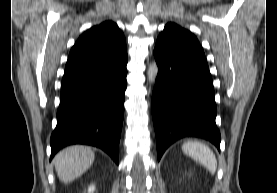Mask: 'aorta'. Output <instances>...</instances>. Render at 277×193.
Returning a JSON list of instances; mask_svg holds the SVG:
<instances>
[{
    "label": "aorta",
    "instance_id": "1",
    "mask_svg": "<svg viewBox=\"0 0 277 193\" xmlns=\"http://www.w3.org/2000/svg\"><path fill=\"white\" fill-rule=\"evenodd\" d=\"M157 73H158V66L154 62L149 66V69H148V79H149L150 82L155 81Z\"/></svg>",
    "mask_w": 277,
    "mask_h": 193
}]
</instances>
